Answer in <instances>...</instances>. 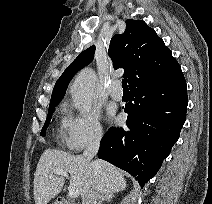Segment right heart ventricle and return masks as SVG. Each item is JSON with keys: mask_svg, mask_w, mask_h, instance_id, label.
<instances>
[{"mask_svg": "<svg viewBox=\"0 0 212 204\" xmlns=\"http://www.w3.org/2000/svg\"><path fill=\"white\" fill-rule=\"evenodd\" d=\"M61 113H62V123L64 124V121H65V118H66V117L63 116V114H64L63 111H62Z\"/></svg>", "mask_w": 212, "mask_h": 204, "instance_id": "right-heart-ventricle-1", "label": "right heart ventricle"}]
</instances>
